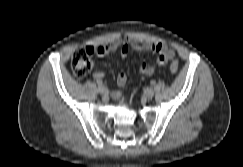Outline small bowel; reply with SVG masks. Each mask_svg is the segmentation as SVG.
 <instances>
[{
  "label": "small bowel",
  "instance_id": "small-bowel-1",
  "mask_svg": "<svg viewBox=\"0 0 243 167\" xmlns=\"http://www.w3.org/2000/svg\"><path fill=\"white\" fill-rule=\"evenodd\" d=\"M150 50L158 54V58L153 63L143 62L139 67V72L145 76H151L156 67L165 66L175 56V50L168 44L163 42L147 43L135 38L123 37L118 39L114 44L97 46L93 48L94 54L98 57L105 56L119 52L122 59L128 56L129 50ZM105 74L101 71L93 73V78L97 81H102ZM127 82V76L124 72H119L117 75V84L119 87H123ZM121 96L120 91H115L114 98Z\"/></svg>",
  "mask_w": 243,
  "mask_h": 167
}]
</instances>
